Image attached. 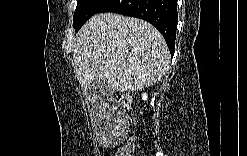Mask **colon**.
I'll use <instances>...</instances> for the list:
<instances>
[{
  "instance_id": "colon-1",
  "label": "colon",
  "mask_w": 247,
  "mask_h": 156,
  "mask_svg": "<svg viewBox=\"0 0 247 156\" xmlns=\"http://www.w3.org/2000/svg\"><path fill=\"white\" fill-rule=\"evenodd\" d=\"M117 101L119 103V110L114 114V121L118 123L120 117L118 116L121 110H126L130 108L131 105V97L129 94H120L117 96ZM123 122L128 123L132 128V134L130 137L125 141V143L118 149L115 156H129L132 154L135 148V123L134 119L131 116H128L124 119Z\"/></svg>"
}]
</instances>
